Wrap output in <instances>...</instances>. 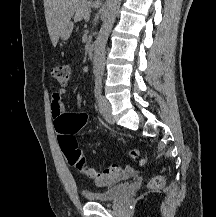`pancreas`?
<instances>
[{
	"instance_id": "1",
	"label": "pancreas",
	"mask_w": 216,
	"mask_h": 217,
	"mask_svg": "<svg viewBox=\"0 0 216 217\" xmlns=\"http://www.w3.org/2000/svg\"><path fill=\"white\" fill-rule=\"evenodd\" d=\"M86 12H89V9L87 7V3H83L77 9L76 14L74 16V21H80L81 19H85Z\"/></svg>"
}]
</instances>
